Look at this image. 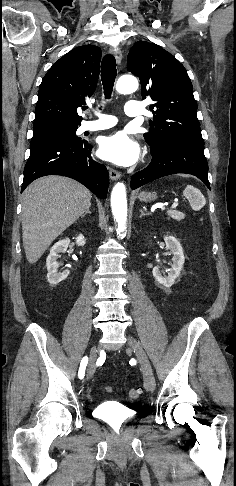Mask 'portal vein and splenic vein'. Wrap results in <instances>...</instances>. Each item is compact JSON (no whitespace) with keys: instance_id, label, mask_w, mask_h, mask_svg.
Here are the masks:
<instances>
[{"instance_id":"18ae733b","label":"portal vein and splenic vein","mask_w":236,"mask_h":486,"mask_svg":"<svg viewBox=\"0 0 236 486\" xmlns=\"http://www.w3.org/2000/svg\"><path fill=\"white\" fill-rule=\"evenodd\" d=\"M178 206V203H173L172 206H171V209H176Z\"/></svg>"}]
</instances>
